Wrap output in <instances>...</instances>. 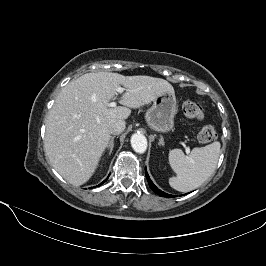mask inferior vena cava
<instances>
[{"mask_svg":"<svg viewBox=\"0 0 266 266\" xmlns=\"http://www.w3.org/2000/svg\"><path fill=\"white\" fill-rule=\"evenodd\" d=\"M109 132L111 134L117 135L124 131L125 129V122L123 120H113L110 122L108 126Z\"/></svg>","mask_w":266,"mask_h":266,"instance_id":"obj_1","label":"inferior vena cava"}]
</instances>
